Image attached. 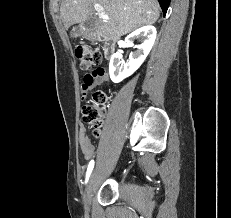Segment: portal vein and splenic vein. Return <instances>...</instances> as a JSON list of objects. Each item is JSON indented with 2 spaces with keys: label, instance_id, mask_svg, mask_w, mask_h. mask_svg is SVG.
<instances>
[{
  "label": "portal vein and splenic vein",
  "instance_id": "obj_1",
  "mask_svg": "<svg viewBox=\"0 0 231 218\" xmlns=\"http://www.w3.org/2000/svg\"><path fill=\"white\" fill-rule=\"evenodd\" d=\"M94 9L99 13L100 17L108 19V16L105 15L104 9L100 4H94Z\"/></svg>",
  "mask_w": 231,
  "mask_h": 218
}]
</instances>
